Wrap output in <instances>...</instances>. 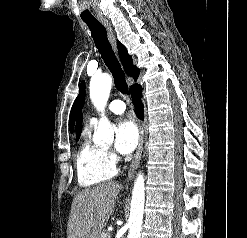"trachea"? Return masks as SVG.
I'll list each match as a JSON object with an SVG mask.
<instances>
[{
    "label": "trachea",
    "instance_id": "trachea-1",
    "mask_svg": "<svg viewBox=\"0 0 247 238\" xmlns=\"http://www.w3.org/2000/svg\"><path fill=\"white\" fill-rule=\"evenodd\" d=\"M85 23L88 25L91 31L94 43L99 53L101 54L102 59L113 75L116 89L122 94H129L124 71L122 70L121 65L117 60L112 46L108 40L105 27L97 20L85 21Z\"/></svg>",
    "mask_w": 247,
    "mask_h": 238
}]
</instances>
